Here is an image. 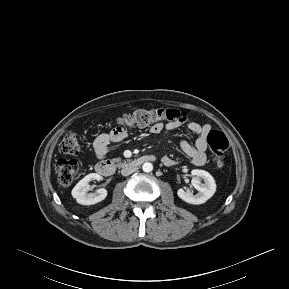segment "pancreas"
<instances>
[{"label":"pancreas","instance_id":"cf45deb5","mask_svg":"<svg viewBox=\"0 0 289 289\" xmlns=\"http://www.w3.org/2000/svg\"><path fill=\"white\" fill-rule=\"evenodd\" d=\"M113 161L119 162V161H121V159H113Z\"/></svg>","mask_w":289,"mask_h":289}]
</instances>
